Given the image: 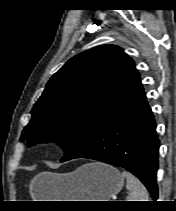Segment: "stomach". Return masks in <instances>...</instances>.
Instances as JSON below:
<instances>
[{
    "instance_id": "obj_1",
    "label": "stomach",
    "mask_w": 176,
    "mask_h": 211,
    "mask_svg": "<svg viewBox=\"0 0 176 211\" xmlns=\"http://www.w3.org/2000/svg\"><path fill=\"white\" fill-rule=\"evenodd\" d=\"M124 178L115 167L93 162L71 173L44 172L32 182V194L40 201H109L120 192Z\"/></svg>"
}]
</instances>
